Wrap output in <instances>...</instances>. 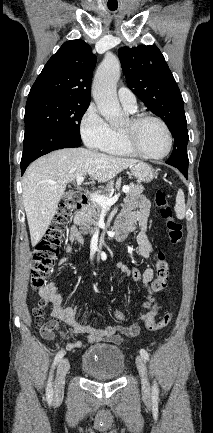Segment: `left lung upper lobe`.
<instances>
[{"label": "left lung upper lobe", "mask_w": 213, "mask_h": 433, "mask_svg": "<svg viewBox=\"0 0 213 433\" xmlns=\"http://www.w3.org/2000/svg\"><path fill=\"white\" fill-rule=\"evenodd\" d=\"M127 85L153 112L161 117L174 135V147L168 161L188 166L189 141L183 98L160 50L154 45L118 51Z\"/></svg>", "instance_id": "obj_1"}]
</instances>
